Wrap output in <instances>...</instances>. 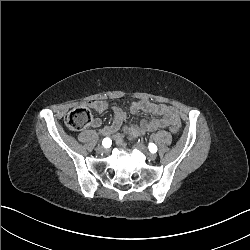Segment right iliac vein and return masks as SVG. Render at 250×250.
I'll list each match as a JSON object with an SVG mask.
<instances>
[{
    "label": "right iliac vein",
    "instance_id": "1",
    "mask_svg": "<svg viewBox=\"0 0 250 250\" xmlns=\"http://www.w3.org/2000/svg\"><path fill=\"white\" fill-rule=\"evenodd\" d=\"M96 151H97L98 153H103V152L106 151V148L103 147L102 145H98V146L96 147Z\"/></svg>",
    "mask_w": 250,
    "mask_h": 250
}]
</instances>
